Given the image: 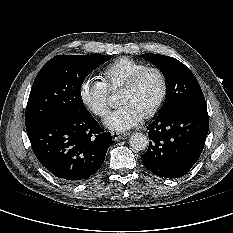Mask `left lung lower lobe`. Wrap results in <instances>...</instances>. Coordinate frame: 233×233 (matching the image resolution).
<instances>
[{
	"label": "left lung lower lobe",
	"instance_id": "obj_1",
	"mask_svg": "<svg viewBox=\"0 0 233 233\" xmlns=\"http://www.w3.org/2000/svg\"><path fill=\"white\" fill-rule=\"evenodd\" d=\"M151 140L141 155L143 164L153 173L179 178L191 169L204 148L209 129L206 107H181L158 115L147 126Z\"/></svg>",
	"mask_w": 233,
	"mask_h": 233
}]
</instances>
